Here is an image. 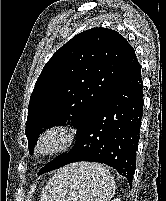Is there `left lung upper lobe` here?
Masks as SVG:
<instances>
[{"instance_id":"obj_1","label":"left lung upper lobe","mask_w":166,"mask_h":201,"mask_svg":"<svg viewBox=\"0 0 166 201\" xmlns=\"http://www.w3.org/2000/svg\"><path fill=\"white\" fill-rule=\"evenodd\" d=\"M135 57L127 40L107 28L81 32L58 49L30 97L25 130L30 154L51 126L71 124L78 131Z\"/></svg>"}]
</instances>
